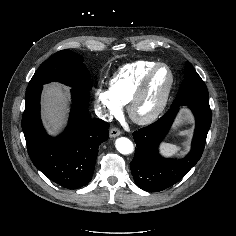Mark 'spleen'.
Here are the masks:
<instances>
[{
    "label": "spleen",
    "mask_w": 236,
    "mask_h": 236,
    "mask_svg": "<svg viewBox=\"0 0 236 236\" xmlns=\"http://www.w3.org/2000/svg\"><path fill=\"white\" fill-rule=\"evenodd\" d=\"M161 149H162L163 154H165L166 156H173L177 154L181 148L174 144L162 143Z\"/></svg>",
    "instance_id": "3e777b00"
}]
</instances>
